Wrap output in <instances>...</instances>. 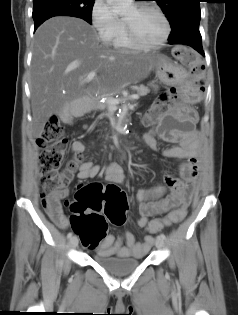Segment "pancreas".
Segmentation results:
<instances>
[{
	"label": "pancreas",
	"instance_id": "pancreas-1",
	"mask_svg": "<svg viewBox=\"0 0 238 315\" xmlns=\"http://www.w3.org/2000/svg\"><path fill=\"white\" fill-rule=\"evenodd\" d=\"M136 91H137L138 95L146 96L150 90L148 87H146L144 85H140V86L136 87ZM109 98H111V97H109Z\"/></svg>",
	"mask_w": 238,
	"mask_h": 315
}]
</instances>
